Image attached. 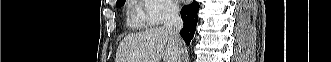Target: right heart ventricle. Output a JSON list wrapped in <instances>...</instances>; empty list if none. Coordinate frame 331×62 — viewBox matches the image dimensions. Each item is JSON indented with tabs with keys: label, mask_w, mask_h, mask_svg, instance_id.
<instances>
[{
	"label": "right heart ventricle",
	"mask_w": 331,
	"mask_h": 62,
	"mask_svg": "<svg viewBox=\"0 0 331 62\" xmlns=\"http://www.w3.org/2000/svg\"><path fill=\"white\" fill-rule=\"evenodd\" d=\"M134 16L137 18V19H140V20H143V14L140 10H135L134 11Z\"/></svg>",
	"instance_id": "obj_1"
}]
</instances>
